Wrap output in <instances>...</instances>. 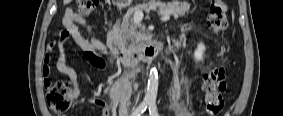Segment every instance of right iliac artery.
<instances>
[{
    "label": "right iliac artery",
    "instance_id": "82829eb1",
    "mask_svg": "<svg viewBox=\"0 0 283 116\" xmlns=\"http://www.w3.org/2000/svg\"><path fill=\"white\" fill-rule=\"evenodd\" d=\"M147 106V102H142L139 107L131 114V116H140L144 111H146Z\"/></svg>",
    "mask_w": 283,
    "mask_h": 116
}]
</instances>
